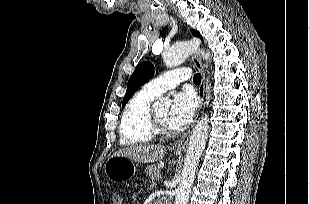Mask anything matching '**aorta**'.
<instances>
[{
  "label": "aorta",
  "instance_id": "obj_1",
  "mask_svg": "<svg viewBox=\"0 0 309 204\" xmlns=\"http://www.w3.org/2000/svg\"><path fill=\"white\" fill-rule=\"evenodd\" d=\"M191 52H196L205 60H210L208 52L196 47L192 42L182 41L174 44L163 52V61L167 67H177L182 64ZM163 101H157L155 106ZM209 128L208 115L202 116L194 126L187 146L184 166L180 182L175 194V204H187L193 186L196 169L205 148Z\"/></svg>",
  "mask_w": 309,
  "mask_h": 204
}]
</instances>
